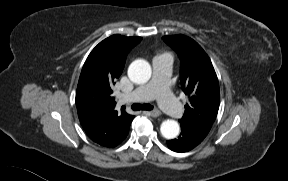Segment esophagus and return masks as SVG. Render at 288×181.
Returning a JSON list of instances; mask_svg holds the SVG:
<instances>
[{
    "label": "esophagus",
    "instance_id": "34e87169",
    "mask_svg": "<svg viewBox=\"0 0 288 181\" xmlns=\"http://www.w3.org/2000/svg\"><path fill=\"white\" fill-rule=\"evenodd\" d=\"M147 114H149L152 117H158L160 116V112L158 110H154V111H148L146 112Z\"/></svg>",
    "mask_w": 288,
    "mask_h": 181
}]
</instances>
